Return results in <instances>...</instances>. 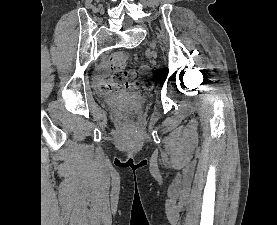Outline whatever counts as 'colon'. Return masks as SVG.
I'll return each instance as SVG.
<instances>
[{"label": "colon", "instance_id": "1", "mask_svg": "<svg viewBox=\"0 0 277 225\" xmlns=\"http://www.w3.org/2000/svg\"><path fill=\"white\" fill-rule=\"evenodd\" d=\"M132 61V55L127 51L114 53L110 58L111 75L101 83V89L105 92H119L134 90L139 86L149 89L152 86L149 73L138 70H125Z\"/></svg>", "mask_w": 277, "mask_h": 225}]
</instances>
